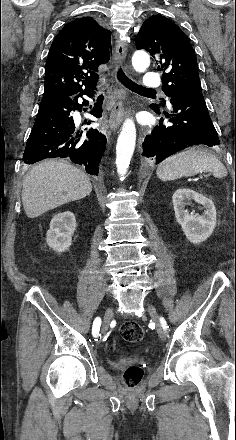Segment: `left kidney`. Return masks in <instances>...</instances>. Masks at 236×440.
Instances as JSON below:
<instances>
[{
  "mask_svg": "<svg viewBox=\"0 0 236 440\" xmlns=\"http://www.w3.org/2000/svg\"><path fill=\"white\" fill-rule=\"evenodd\" d=\"M194 200L205 209L202 215L189 213L187 202ZM176 221L181 225L187 239L194 244L211 236L216 226V208L213 201L191 189H177L172 196Z\"/></svg>",
  "mask_w": 236,
  "mask_h": 440,
  "instance_id": "5707ae66",
  "label": "left kidney"
}]
</instances>
